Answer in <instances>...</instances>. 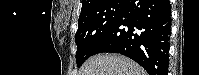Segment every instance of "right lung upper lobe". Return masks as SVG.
<instances>
[{"label":"right lung upper lobe","mask_w":199,"mask_h":75,"mask_svg":"<svg viewBox=\"0 0 199 75\" xmlns=\"http://www.w3.org/2000/svg\"><path fill=\"white\" fill-rule=\"evenodd\" d=\"M104 0H82V10L94 6Z\"/></svg>","instance_id":"cb5924a9"}]
</instances>
